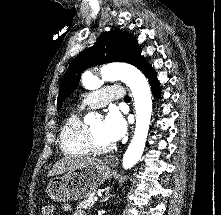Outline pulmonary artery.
Segmentation results:
<instances>
[{
  "mask_svg": "<svg viewBox=\"0 0 221 215\" xmlns=\"http://www.w3.org/2000/svg\"><path fill=\"white\" fill-rule=\"evenodd\" d=\"M124 94L123 88L119 86H106L87 95L82 101V106L98 109L114 99L123 98Z\"/></svg>",
  "mask_w": 221,
  "mask_h": 215,
  "instance_id": "obj_1",
  "label": "pulmonary artery"
}]
</instances>
